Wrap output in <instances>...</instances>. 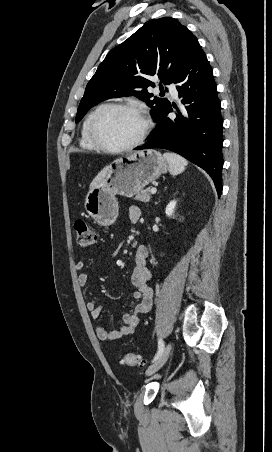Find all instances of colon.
Segmentation results:
<instances>
[{
	"label": "colon",
	"mask_w": 272,
	"mask_h": 452,
	"mask_svg": "<svg viewBox=\"0 0 272 452\" xmlns=\"http://www.w3.org/2000/svg\"><path fill=\"white\" fill-rule=\"evenodd\" d=\"M74 230L76 243L80 249H88L95 243V232L86 221L77 220L74 224ZM122 363L128 366H141L143 365V359L135 353H126L122 358Z\"/></svg>",
	"instance_id": "obj_1"
}]
</instances>
